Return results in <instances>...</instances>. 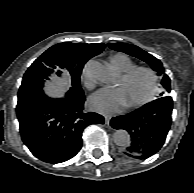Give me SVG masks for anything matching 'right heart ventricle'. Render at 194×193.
I'll return each instance as SVG.
<instances>
[{
	"mask_svg": "<svg viewBox=\"0 0 194 193\" xmlns=\"http://www.w3.org/2000/svg\"><path fill=\"white\" fill-rule=\"evenodd\" d=\"M110 64L119 73H125L135 66L134 62L125 54L117 53L110 57Z\"/></svg>",
	"mask_w": 194,
	"mask_h": 193,
	"instance_id": "e07e8e85",
	"label": "right heart ventricle"
}]
</instances>
